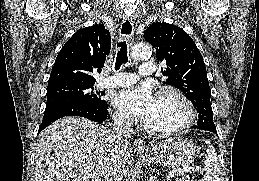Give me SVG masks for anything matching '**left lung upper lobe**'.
<instances>
[{
  "label": "left lung upper lobe",
  "instance_id": "1",
  "mask_svg": "<svg viewBox=\"0 0 259 181\" xmlns=\"http://www.w3.org/2000/svg\"><path fill=\"white\" fill-rule=\"evenodd\" d=\"M144 38L155 47L158 62L167 65L163 71L169 76L167 83L181 90L196 107L197 126L216 130L206 67L193 39L180 27L165 22L152 23Z\"/></svg>",
  "mask_w": 259,
  "mask_h": 181
}]
</instances>
